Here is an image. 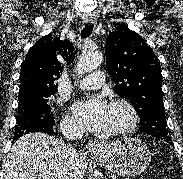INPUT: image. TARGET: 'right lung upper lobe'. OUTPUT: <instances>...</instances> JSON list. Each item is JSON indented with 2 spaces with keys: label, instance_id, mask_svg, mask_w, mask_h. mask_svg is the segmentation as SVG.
<instances>
[{
  "label": "right lung upper lobe",
  "instance_id": "right-lung-upper-lobe-1",
  "mask_svg": "<svg viewBox=\"0 0 183 179\" xmlns=\"http://www.w3.org/2000/svg\"><path fill=\"white\" fill-rule=\"evenodd\" d=\"M73 50L72 42L61 41L51 34L39 39L21 65L18 99L54 95L57 91L55 80L63 70L56 54L61 53L70 64L75 58Z\"/></svg>",
  "mask_w": 183,
  "mask_h": 179
}]
</instances>
